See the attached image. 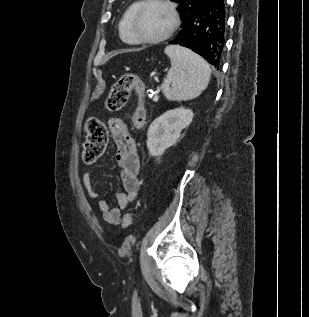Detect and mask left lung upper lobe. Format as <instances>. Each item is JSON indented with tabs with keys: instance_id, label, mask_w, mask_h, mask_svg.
Masks as SVG:
<instances>
[{
	"instance_id": "5c2ea615",
	"label": "left lung upper lobe",
	"mask_w": 309,
	"mask_h": 317,
	"mask_svg": "<svg viewBox=\"0 0 309 317\" xmlns=\"http://www.w3.org/2000/svg\"><path fill=\"white\" fill-rule=\"evenodd\" d=\"M179 3L178 11L184 21L205 0H172Z\"/></svg>"
}]
</instances>
